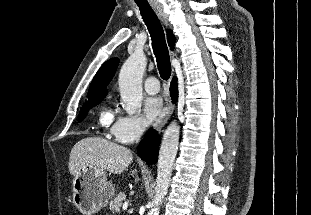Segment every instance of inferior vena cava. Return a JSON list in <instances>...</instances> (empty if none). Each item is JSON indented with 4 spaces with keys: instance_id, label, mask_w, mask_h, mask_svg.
Segmentation results:
<instances>
[{
    "instance_id": "1",
    "label": "inferior vena cava",
    "mask_w": 311,
    "mask_h": 215,
    "mask_svg": "<svg viewBox=\"0 0 311 215\" xmlns=\"http://www.w3.org/2000/svg\"><path fill=\"white\" fill-rule=\"evenodd\" d=\"M142 134V130L140 128L136 129L135 131V140L138 141L140 139V136Z\"/></svg>"
}]
</instances>
